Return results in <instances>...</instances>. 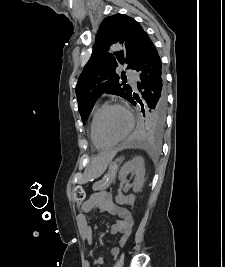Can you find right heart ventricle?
Returning <instances> with one entry per match:
<instances>
[{
	"label": "right heart ventricle",
	"mask_w": 225,
	"mask_h": 267,
	"mask_svg": "<svg viewBox=\"0 0 225 267\" xmlns=\"http://www.w3.org/2000/svg\"><path fill=\"white\" fill-rule=\"evenodd\" d=\"M102 108H103L102 105H96L93 108L91 115H90L89 128H88L91 143L97 149H106V148L111 147V145L104 143L103 141H101L98 138V135H97L96 129H95L96 119H97L100 111L102 110Z\"/></svg>",
	"instance_id": "e07e8e85"
}]
</instances>
